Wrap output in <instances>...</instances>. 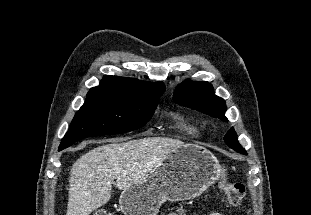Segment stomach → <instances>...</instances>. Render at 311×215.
<instances>
[{
  "mask_svg": "<svg viewBox=\"0 0 311 215\" xmlns=\"http://www.w3.org/2000/svg\"><path fill=\"white\" fill-rule=\"evenodd\" d=\"M224 175L219 161L208 149L184 144L147 177L123 190L120 209L124 215H157L166 200L194 199Z\"/></svg>",
  "mask_w": 311,
  "mask_h": 215,
  "instance_id": "0dacf381",
  "label": "stomach"
}]
</instances>
